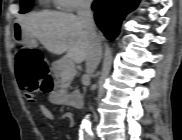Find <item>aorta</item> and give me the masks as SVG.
I'll return each instance as SVG.
<instances>
[{
  "instance_id": "obj_1",
  "label": "aorta",
  "mask_w": 182,
  "mask_h": 140,
  "mask_svg": "<svg viewBox=\"0 0 182 140\" xmlns=\"http://www.w3.org/2000/svg\"><path fill=\"white\" fill-rule=\"evenodd\" d=\"M80 136L84 138L85 140H89L91 137L90 121L88 116H86L82 121Z\"/></svg>"
}]
</instances>
